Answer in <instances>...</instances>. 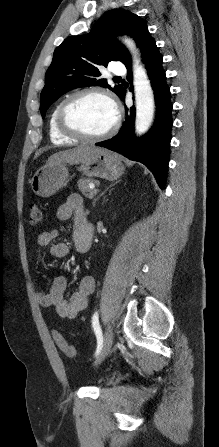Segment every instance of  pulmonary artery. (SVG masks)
Returning a JSON list of instances; mask_svg holds the SVG:
<instances>
[{
	"label": "pulmonary artery",
	"instance_id": "e3ab8cb5",
	"mask_svg": "<svg viewBox=\"0 0 219 447\" xmlns=\"http://www.w3.org/2000/svg\"><path fill=\"white\" fill-rule=\"evenodd\" d=\"M111 72L114 75H123L126 73V68L121 62H116L112 65Z\"/></svg>",
	"mask_w": 219,
	"mask_h": 447
}]
</instances>
